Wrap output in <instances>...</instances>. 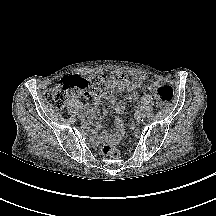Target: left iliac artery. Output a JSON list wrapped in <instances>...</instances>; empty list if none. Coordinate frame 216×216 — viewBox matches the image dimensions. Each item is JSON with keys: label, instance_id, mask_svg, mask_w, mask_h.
Segmentation results:
<instances>
[{"label": "left iliac artery", "instance_id": "obj_1", "mask_svg": "<svg viewBox=\"0 0 216 216\" xmlns=\"http://www.w3.org/2000/svg\"><path fill=\"white\" fill-rule=\"evenodd\" d=\"M137 109H138V111L136 112L135 115H136V118L138 119V118H139V115H140V114H139V113H140L139 109H141V107H137Z\"/></svg>", "mask_w": 216, "mask_h": 216}]
</instances>
